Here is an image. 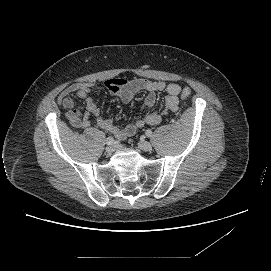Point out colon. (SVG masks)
<instances>
[{
	"label": "colon",
	"instance_id": "obj_1",
	"mask_svg": "<svg viewBox=\"0 0 271 271\" xmlns=\"http://www.w3.org/2000/svg\"><path fill=\"white\" fill-rule=\"evenodd\" d=\"M191 93L192 92L190 88H184L182 89L180 96L182 99H187L191 96Z\"/></svg>",
	"mask_w": 271,
	"mask_h": 271
}]
</instances>
